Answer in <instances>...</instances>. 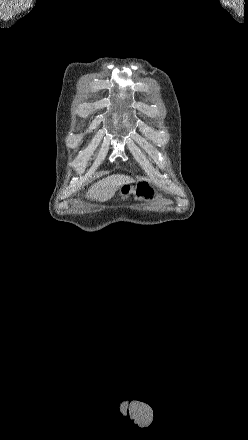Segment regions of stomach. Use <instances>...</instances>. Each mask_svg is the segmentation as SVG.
<instances>
[{"label": "stomach", "mask_w": 248, "mask_h": 440, "mask_svg": "<svg viewBox=\"0 0 248 440\" xmlns=\"http://www.w3.org/2000/svg\"><path fill=\"white\" fill-rule=\"evenodd\" d=\"M119 194L122 197H128L130 194L136 195L143 200H156L162 197L158 191L148 180L141 179L136 183V186L130 184L122 185L119 188Z\"/></svg>", "instance_id": "obj_1"}]
</instances>
